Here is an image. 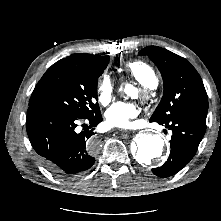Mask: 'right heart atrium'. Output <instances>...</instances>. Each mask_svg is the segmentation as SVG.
<instances>
[{
  "label": "right heart atrium",
  "instance_id": "d8ad5b80",
  "mask_svg": "<svg viewBox=\"0 0 221 221\" xmlns=\"http://www.w3.org/2000/svg\"><path fill=\"white\" fill-rule=\"evenodd\" d=\"M114 81L108 73H104L97 84V98L99 103L107 104L114 92Z\"/></svg>",
  "mask_w": 221,
  "mask_h": 221
}]
</instances>
